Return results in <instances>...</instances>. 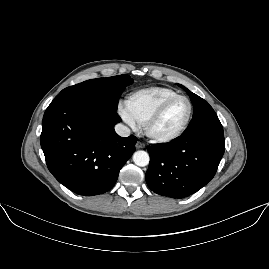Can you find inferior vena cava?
<instances>
[{
    "instance_id": "1",
    "label": "inferior vena cava",
    "mask_w": 269,
    "mask_h": 269,
    "mask_svg": "<svg viewBox=\"0 0 269 269\" xmlns=\"http://www.w3.org/2000/svg\"><path fill=\"white\" fill-rule=\"evenodd\" d=\"M115 131L121 137H128L131 133L127 126L120 123L115 125Z\"/></svg>"
}]
</instances>
